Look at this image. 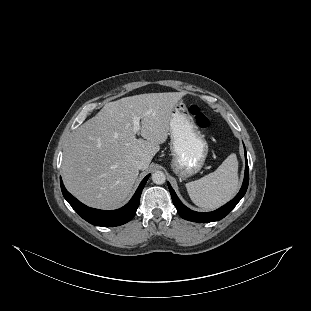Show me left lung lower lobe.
Returning <instances> with one entry per match:
<instances>
[{
    "label": "left lung lower lobe",
    "mask_w": 311,
    "mask_h": 311,
    "mask_svg": "<svg viewBox=\"0 0 311 311\" xmlns=\"http://www.w3.org/2000/svg\"><path fill=\"white\" fill-rule=\"evenodd\" d=\"M244 150H245V147H244ZM245 159H246L245 176H244V181H243V184H242V187L239 193L230 202H228L227 204H225L224 206H222L221 208L213 212L200 213V212H195V211L190 210L179 200L176 193L174 192V190L168 183L172 201L175 207L177 208L179 215L186 220L193 221V222H199V223L217 221V220L224 218L226 215H228L229 212L238 204L241 198L245 195L246 190L248 188L249 169H248L246 150H245Z\"/></svg>",
    "instance_id": "left-lung-lower-lobe-1"
}]
</instances>
